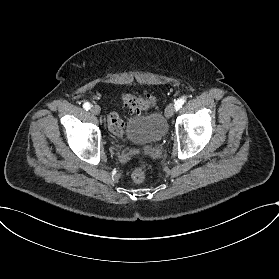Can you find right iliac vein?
Masks as SVG:
<instances>
[{"instance_id": "right-iliac-vein-1", "label": "right iliac vein", "mask_w": 279, "mask_h": 279, "mask_svg": "<svg viewBox=\"0 0 279 279\" xmlns=\"http://www.w3.org/2000/svg\"><path fill=\"white\" fill-rule=\"evenodd\" d=\"M92 114H99L101 112V108L98 105H93L90 109Z\"/></svg>"}]
</instances>
